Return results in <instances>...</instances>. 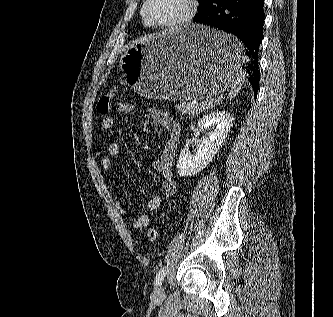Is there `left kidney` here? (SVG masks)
<instances>
[{
    "label": "left kidney",
    "mask_w": 333,
    "mask_h": 317,
    "mask_svg": "<svg viewBox=\"0 0 333 317\" xmlns=\"http://www.w3.org/2000/svg\"><path fill=\"white\" fill-rule=\"evenodd\" d=\"M233 121V116L225 111H214L198 120L197 131L208 132L194 154L187 148L181 151L177 163V172L181 177L197 174L212 161L233 126Z\"/></svg>",
    "instance_id": "1"
}]
</instances>
